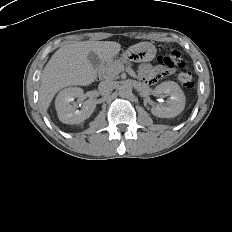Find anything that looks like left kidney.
Here are the masks:
<instances>
[{
    "label": "left kidney",
    "mask_w": 232,
    "mask_h": 232,
    "mask_svg": "<svg viewBox=\"0 0 232 232\" xmlns=\"http://www.w3.org/2000/svg\"><path fill=\"white\" fill-rule=\"evenodd\" d=\"M158 96L169 95L167 106H153L151 113L159 118H173L179 115L185 108V95L180 86L173 81L162 82L155 88Z\"/></svg>",
    "instance_id": "obj_1"
}]
</instances>
